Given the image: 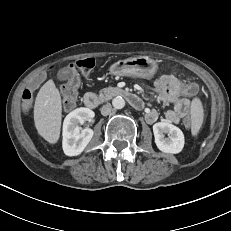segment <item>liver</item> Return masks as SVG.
Masks as SVG:
<instances>
[{"label": "liver", "mask_w": 231, "mask_h": 231, "mask_svg": "<svg viewBox=\"0 0 231 231\" xmlns=\"http://www.w3.org/2000/svg\"><path fill=\"white\" fill-rule=\"evenodd\" d=\"M62 121V101L53 80L39 90L34 105V122L38 133L50 144L59 140Z\"/></svg>", "instance_id": "liver-1"}]
</instances>
